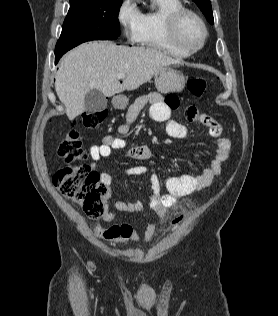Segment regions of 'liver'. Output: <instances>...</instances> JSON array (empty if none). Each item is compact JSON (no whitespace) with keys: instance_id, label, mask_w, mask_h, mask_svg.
<instances>
[{"instance_id":"6515ba94","label":"liver","mask_w":278,"mask_h":316,"mask_svg":"<svg viewBox=\"0 0 278 316\" xmlns=\"http://www.w3.org/2000/svg\"><path fill=\"white\" fill-rule=\"evenodd\" d=\"M179 62L145 47L118 46L107 41L84 43L62 59L55 78V90L73 120L85 111V95L92 89L111 97L132 91L149 81L163 67ZM124 73L125 78H118Z\"/></svg>"}]
</instances>
